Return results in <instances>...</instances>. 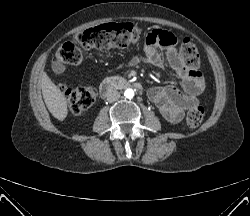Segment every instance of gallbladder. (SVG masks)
Returning a JSON list of instances; mask_svg holds the SVG:
<instances>
[{
	"label": "gallbladder",
	"mask_w": 250,
	"mask_h": 216,
	"mask_svg": "<svg viewBox=\"0 0 250 216\" xmlns=\"http://www.w3.org/2000/svg\"><path fill=\"white\" fill-rule=\"evenodd\" d=\"M52 70L56 73V74H61L65 71L66 67L59 63V62H52Z\"/></svg>",
	"instance_id": "obj_1"
}]
</instances>
